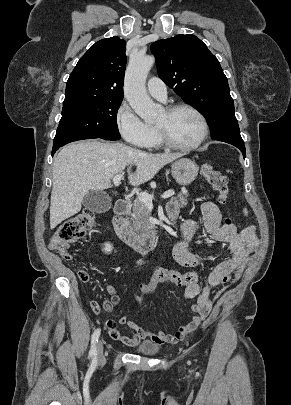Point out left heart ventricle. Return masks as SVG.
<instances>
[{"mask_svg": "<svg viewBox=\"0 0 291 405\" xmlns=\"http://www.w3.org/2000/svg\"><path fill=\"white\" fill-rule=\"evenodd\" d=\"M156 127L163 128L172 141L181 145L196 142L202 133L200 119L186 109L173 114H168L164 110L156 122Z\"/></svg>", "mask_w": 291, "mask_h": 405, "instance_id": "b2bd125f", "label": "left heart ventricle"}]
</instances>
